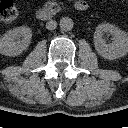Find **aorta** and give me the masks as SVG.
Masks as SVG:
<instances>
[{
    "mask_svg": "<svg viewBox=\"0 0 128 128\" xmlns=\"http://www.w3.org/2000/svg\"><path fill=\"white\" fill-rule=\"evenodd\" d=\"M59 26H60V29L62 31L67 32V31H71L73 29L74 23H73V20L71 18L63 17L60 20Z\"/></svg>",
    "mask_w": 128,
    "mask_h": 128,
    "instance_id": "762f6f07",
    "label": "aorta"
}]
</instances>
